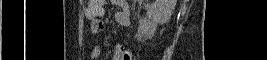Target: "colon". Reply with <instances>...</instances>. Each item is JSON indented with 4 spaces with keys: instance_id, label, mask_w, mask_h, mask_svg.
<instances>
[{
    "instance_id": "1",
    "label": "colon",
    "mask_w": 267,
    "mask_h": 60,
    "mask_svg": "<svg viewBox=\"0 0 267 60\" xmlns=\"http://www.w3.org/2000/svg\"><path fill=\"white\" fill-rule=\"evenodd\" d=\"M88 3L91 6L92 15H97L100 13L101 9L105 4V0H89Z\"/></svg>"
}]
</instances>
